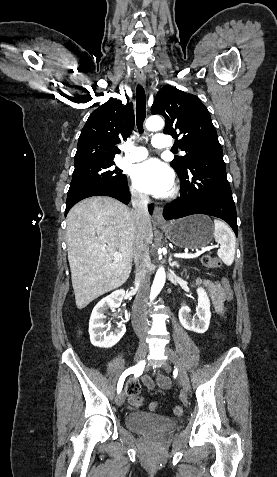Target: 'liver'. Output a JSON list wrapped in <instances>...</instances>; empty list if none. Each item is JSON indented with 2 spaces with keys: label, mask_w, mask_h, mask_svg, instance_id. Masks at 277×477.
Returning <instances> with one entry per match:
<instances>
[{
  "label": "liver",
  "mask_w": 277,
  "mask_h": 477,
  "mask_svg": "<svg viewBox=\"0 0 277 477\" xmlns=\"http://www.w3.org/2000/svg\"><path fill=\"white\" fill-rule=\"evenodd\" d=\"M67 251L78 309L123 285L132 269L136 228L132 211L118 200L97 196L76 204L67 215ZM153 232L148 223L146 242ZM119 251L121 257L114 258Z\"/></svg>",
  "instance_id": "6515ba94"
}]
</instances>
